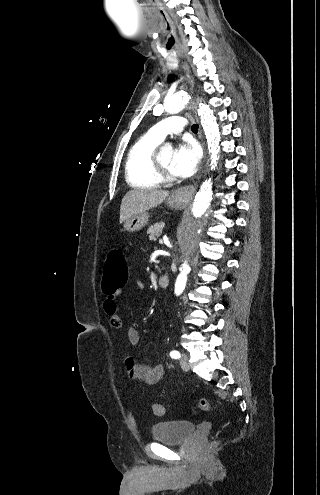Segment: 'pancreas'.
I'll use <instances>...</instances> for the list:
<instances>
[{"label": "pancreas", "instance_id": "cf45deb5", "mask_svg": "<svg viewBox=\"0 0 320 495\" xmlns=\"http://www.w3.org/2000/svg\"><path fill=\"white\" fill-rule=\"evenodd\" d=\"M164 227V222L156 223L153 226H150L147 230V233L149 234V239L150 240H156L162 233Z\"/></svg>", "mask_w": 320, "mask_h": 495}]
</instances>
